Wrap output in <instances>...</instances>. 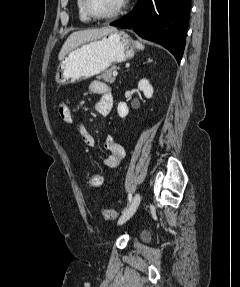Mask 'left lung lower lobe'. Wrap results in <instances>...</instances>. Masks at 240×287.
Returning <instances> with one entry per match:
<instances>
[{
    "label": "left lung lower lobe",
    "mask_w": 240,
    "mask_h": 287,
    "mask_svg": "<svg viewBox=\"0 0 240 287\" xmlns=\"http://www.w3.org/2000/svg\"><path fill=\"white\" fill-rule=\"evenodd\" d=\"M191 0H138L126 16L110 23L132 29L140 37L168 49L180 63L189 23Z\"/></svg>",
    "instance_id": "1"
}]
</instances>
